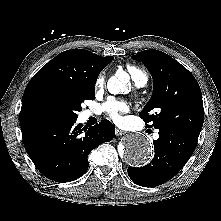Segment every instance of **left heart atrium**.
Here are the masks:
<instances>
[{"label": "left heart atrium", "instance_id": "obj_1", "mask_svg": "<svg viewBox=\"0 0 221 221\" xmlns=\"http://www.w3.org/2000/svg\"><path fill=\"white\" fill-rule=\"evenodd\" d=\"M103 111L113 122L120 123L121 115L129 111V105L125 101L110 98L104 103Z\"/></svg>", "mask_w": 221, "mask_h": 221}]
</instances>
